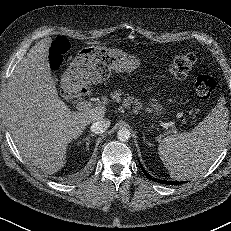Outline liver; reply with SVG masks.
Segmentation results:
<instances>
[{
	"label": "liver",
	"mask_w": 231,
	"mask_h": 231,
	"mask_svg": "<svg viewBox=\"0 0 231 231\" xmlns=\"http://www.w3.org/2000/svg\"><path fill=\"white\" fill-rule=\"evenodd\" d=\"M51 38L36 43L15 67L6 93L7 122L19 152L53 174L66 163L70 142L103 119L105 106L72 112L58 98L48 61Z\"/></svg>",
	"instance_id": "obj_1"
}]
</instances>
